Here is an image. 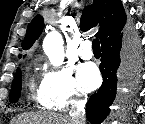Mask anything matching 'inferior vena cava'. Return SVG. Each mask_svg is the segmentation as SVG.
Listing matches in <instances>:
<instances>
[{"mask_svg":"<svg viewBox=\"0 0 145 124\" xmlns=\"http://www.w3.org/2000/svg\"><path fill=\"white\" fill-rule=\"evenodd\" d=\"M85 100L74 102L75 109L70 113V118L73 124H85Z\"/></svg>","mask_w":145,"mask_h":124,"instance_id":"602c4592","label":"inferior vena cava"}]
</instances>
